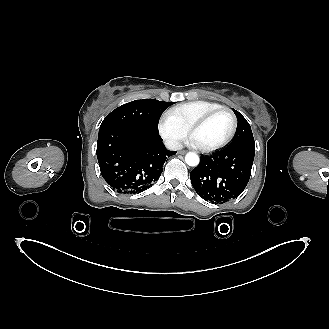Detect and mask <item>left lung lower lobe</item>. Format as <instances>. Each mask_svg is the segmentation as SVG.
I'll return each mask as SVG.
<instances>
[{
	"mask_svg": "<svg viewBox=\"0 0 329 329\" xmlns=\"http://www.w3.org/2000/svg\"><path fill=\"white\" fill-rule=\"evenodd\" d=\"M254 154L255 145L238 144L202 155L190 173L195 191L205 200L217 203L237 198L250 179Z\"/></svg>",
	"mask_w": 329,
	"mask_h": 329,
	"instance_id": "0a47b994",
	"label": "left lung lower lobe"
}]
</instances>
